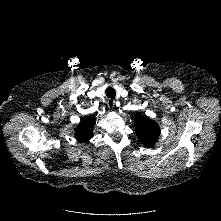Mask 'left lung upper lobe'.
<instances>
[{
    "instance_id": "obj_1",
    "label": "left lung upper lobe",
    "mask_w": 221,
    "mask_h": 221,
    "mask_svg": "<svg viewBox=\"0 0 221 221\" xmlns=\"http://www.w3.org/2000/svg\"><path fill=\"white\" fill-rule=\"evenodd\" d=\"M138 139L147 147H152L158 139L160 128L148 117H140L135 125Z\"/></svg>"
}]
</instances>
